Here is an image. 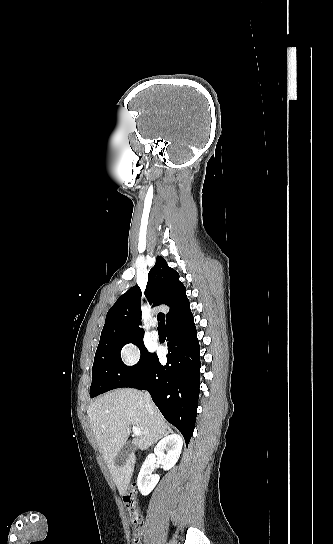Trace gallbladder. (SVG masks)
Returning <instances> with one entry per match:
<instances>
[{
	"label": "gallbladder",
	"instance_id": "bac80fb5",
	"mask_svg": "<svg viewBox=\"0 0 333 544\" xmlns=\"http://www.w3.org/2000/svg\"><path fill=\"white\" fill-rule=\"evenodd\" d=\"M134 450L135 446L133 445L132 441H127L117 454L115 464L120 466L124 465L127 459L133 454Z\"/></svg>",
	"mask_w": 333,
	"mask_h": 544
}]
</instances>
